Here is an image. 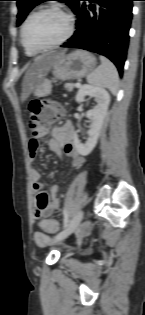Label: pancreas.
Segmentation results:
<instances>
[{
	"label": "pancreas",
	"mask_w": 145,
	"mask_h": 315,
	"mask_svg": "<svg viewBox=\"0 0 145 315\" xmlns=\"http://www.w3.org/2000/svg\"><path fill=\"white\" fill-rule=\"evenodd\" d=\"M64 88L67 89L68 91H72L74 88V84L73 83H66L64 85Z\"/></svg>",
	"instance_id": "pancreas-1"
}]
</instances>
